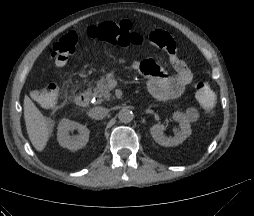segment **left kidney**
Masks as SVG:
<instances>
[{"mask_svg":"<svg viewBox=\"0 0 254 216\" xmlns=\"http://www.w3.org/2000/svg\"><path fill=\"white\" fill-rule=\"evenodd\" d=\"M172 118L174 121L179 123L180 127V131L174 137L165 136V127L163 124H155L150 128L151 136L155 142L165 147L177 146L181 144L192 133L190 122L186 119L182 112H174Z\"/></svg>","mask_w":254,"mask_h":216,"instance_id":"1","label":"left kidney"}]
</instances>
